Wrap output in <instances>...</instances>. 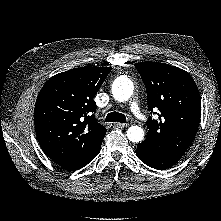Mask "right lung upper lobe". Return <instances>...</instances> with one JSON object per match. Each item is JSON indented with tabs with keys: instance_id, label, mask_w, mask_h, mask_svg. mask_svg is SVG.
Masks as SVG:
<instances>
[{
	"instance_id": "1",
	"label": "right lung upper lobe",
	"mask_w": 221,
	"mask_h": 221,
	"mask_svg": "<svg viewBox=\"0 0 221 221\" xmlns=\"http://www.w3.org/2000/svg\"><path fill=\"white\" fill-rule=\"evenodd\" d=\"M111 67H81L51 77L38 94L34 122L44 153L53 161H81L101 148L106 129L93 100Z\"/></svg>"
}]
</instances>
